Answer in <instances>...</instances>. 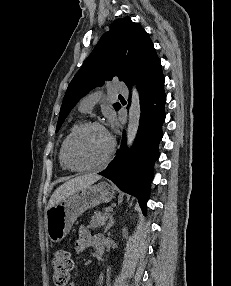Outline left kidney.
<instances>
[{"instance_id": "left-kidney-1", "label": "left kidney", "mask_w": 231, "mask_h": 286, "mask_svg": "<svg viewBox=\"0 0 231 286\" xmlns=\"http://www.w3.org/2000/svg\"><path fill=\"white\" fill-rule=\"evenodd\" d=\"M123 233L126 234V229L125 228L123 229Z\"/></svg>"}]
</instances>
